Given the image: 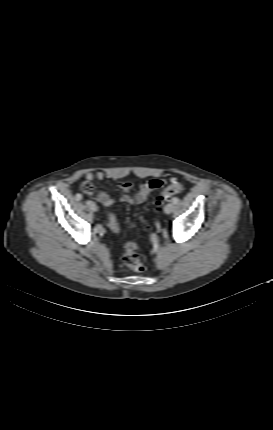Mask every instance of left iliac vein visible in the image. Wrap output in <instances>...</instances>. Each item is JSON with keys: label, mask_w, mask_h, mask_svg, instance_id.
<instances>
[{"label": "left iliac vein", "mask_w": 273, "mask_h": 430, "mask_svg": "<svg viewBox=\"0 0 273 430\" xmlns=\"http://www.w3.org/2000/svg\"><path fill=\"white\" fill-rule=\"evenodd\" d=\"M173 210H174V205L172 203H169L164 207V212L166 214H170Z\"/></svg>", "instance_id": "4c4485c4"}]
</instances>
